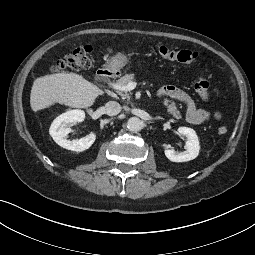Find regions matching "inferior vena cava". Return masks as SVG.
Segmentation results:
<instances>
[{
	"mask_svg": "<svg viewBox=\"0 0 255 255\" xmlns=\"http://www.w3.org/2000/svg\"><path fill=\"white\" fill-rule=\"evenodd\" d=\"M121 109V105L116 101H109L104 106L105 113L109 116H116L121 112Z\"/></svg>",
	"mask_w": 255,
	"mask_h": 255,
	"instance_id": "obj_1",
	"label": "inferior vena cava"
}]
</instances>
